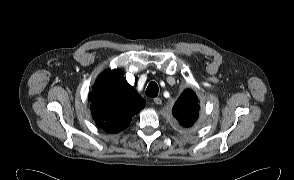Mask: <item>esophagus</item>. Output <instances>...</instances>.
<instances>
[{"label": "esophagus", "mask_w": 294, "mask_h": 180, "mask_svg": "<svg viewBox=\"0 0 294 180\" xmlns=\"http://www.w3.org/2000/svg\"><path fill=\"white\" fill-rule=\"evenodd\" d=\"M153 102L156 104V105H161L162 104V100L158 97L154 98L153 99Z\"/></svg>", "instance_id": "obj_1"}]
</instances>
